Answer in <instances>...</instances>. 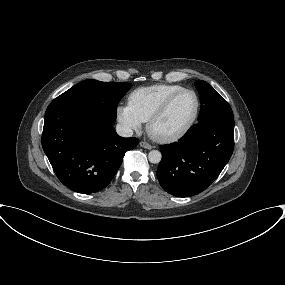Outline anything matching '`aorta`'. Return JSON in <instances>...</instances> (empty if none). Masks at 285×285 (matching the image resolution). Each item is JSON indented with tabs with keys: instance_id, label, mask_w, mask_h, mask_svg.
<instances>
[{
	"instance_id": "762f6f07",
	"label": "aorta",
	"mask_w": 285,
	"mask_h": 285,
	"mask_svg": "<svg viewBox=\"0 0 285 285\" xmlns=\"http://www.w3.org/2000/svg\"><path fill=\"white\" fill-rule=\"evenodd\" d=\"M162 155L158 150H152L148 154V159L151 163L157 164L161 161Z\"/></svg>"
}]
</instances>
